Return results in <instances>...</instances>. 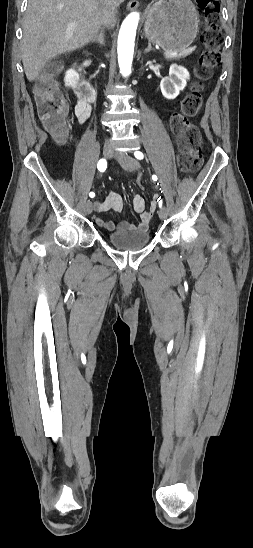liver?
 Returning <instances> with one entry per match:
<instances>
[{"mask_svg": "<svg viewBox=\"0 0 253 548\" xmlns=\"http://www.w3.org/2000/svg\"><path fill=\"white\" fill-rule=\"evenodd\" d=\"M103 10L104 0H28L21 47L27 79L35 80L56 56L96 38Z\"/></svg>", "mask_w": 253, "mask_h": 548, "instance_id": "1", "label": "liver"}]
</instances>
